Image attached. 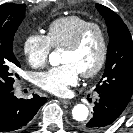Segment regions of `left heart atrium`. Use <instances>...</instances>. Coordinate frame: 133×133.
I'll return each instance as SVG.
<instances>
[{
	"label": "left heart atrium",
	"mask_w": 133,
	"mask_h": 133,
	"mask_svg": "<svg viewBox=\"0 0 133 133\" xmlns=\"http://www.w3.org/2000/svg\"><path fill=\"white\" fill-rule=\"evenodd\" d=\"M79 71L71 63H64L46 72L36 75V84L43 90L54 95L62 96L68 92L70 86L77 84Z\"/></svg>",
	"instance_id": "left-heart-atrium-1"
}]
</instances>
